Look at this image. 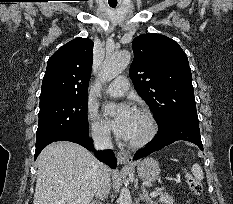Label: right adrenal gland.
Wrapping results in <instances>:
<instances>
[{
  "instance_id": "right-adrenal-gland-1",
  "label": "right adrenal gland",
  "mask_w": 233,
  "mask_h": 204,
  "mask_svg": "<svg viewBox=\"0 0 233 204\" xmlns=\"http://www.w3.org/2000/svg\"><path fill=\"white\" fill-rule=\"evenodd\" d=\"M102 200V199H101ZM91 204H102L101 201L94 200Z\"/></svg>"
}]
</instances>
